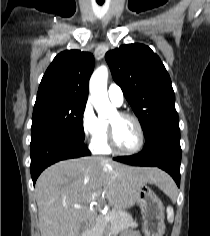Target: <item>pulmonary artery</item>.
Wrapping results in <instances>:
<instances>
[{"instance_id":"1","label":"pulmonary artery","mask_w":210,"mask_h":236,"mask_svg":"<svg viewBox=\"0 0 210 236\" xmlns=\"http://www.w3.org/2000/svg\"><path fill=\"white\" fill-rule=\"evenodd\" d=\"M108 97L111 100V102L117 106L122 105L124 101V94L122 89L116 85L111 84L108 88Z\"/></svg>"}]
</instances>
